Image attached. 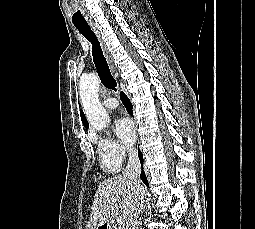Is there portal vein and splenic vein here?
<instances>
[{
    "label": "portal vein and splenic vein",
    "instance_id": "18ae733b",
    "mask_svg": "<svg viewBox=\"0 0 255 229\" xmlns=\"http://www.w3.org/2000/svg\"><path fill=\"white\" fill-rule=\"evenodd\" d=\"M124 223V218H123V216H119L118 218H117V224L118 225H122Z\"/></svg>",
    "mask_w": 255,
    "mask_h": 229
}]
</instances>
